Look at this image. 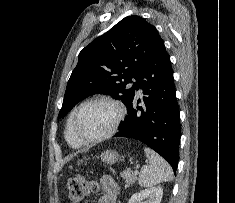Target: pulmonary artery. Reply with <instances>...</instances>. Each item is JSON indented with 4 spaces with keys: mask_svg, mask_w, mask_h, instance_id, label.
I'll return each mask as SVG.
<instances>
[{
    "mask_svg": "<svg viewBox=\"0 0 235 203\" xmlns=\"http://www.w3.org/2000/svg\"><path fill=\"white\" fill-rule=\"evenodd\" d=\"M139 93H141V89H139Z\"/></svg>",
    "mask_w": 235,
    "mask_h": 203,
    "instance_id": "e3ab8cb5",
    "label": "pulmonary artery"
}]
</instances>
